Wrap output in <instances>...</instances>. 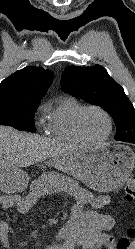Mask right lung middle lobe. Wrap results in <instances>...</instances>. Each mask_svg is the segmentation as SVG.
<instances>
[{
	"mask_svg": "<svg viewBox=\"0 0 135 249\" xmlns=\"http://www.w3.org/2000/svg\"><path fill=\"white\" fill-rule=\"evenodd\" d=\"M39 104L40 100L0 95V125L13 126L20 131L35 132L33 119Z\"/></svg>",
	"mask_w": 135,
	"mask_h": 249,
	"instance_id": "right-lung-middle-lobe-1",
	"label": "right lung middle lobe"
}]
</instances>
